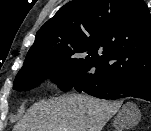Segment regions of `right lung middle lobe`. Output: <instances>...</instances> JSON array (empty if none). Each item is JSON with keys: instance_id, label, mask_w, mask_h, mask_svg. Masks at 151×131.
Here are the masks:
<instances>
[{"instance_id": "1", "label": "right lung middle lobe", "mask_w": 151, "mask_h": 131, "mask_svg": "<svg viewBox=\"0 0 151 131\" xmlns=\"http://www.w3.org/2000/svg\"><path fill=\"white\" fill-rule=\"evenodd\" d=\"M50 77L63 91L72 89L77 79L106 78L93 58L77 46H33L14 80L13 88L18 91L27 90Z\"/></svg>"}]
</instances>
